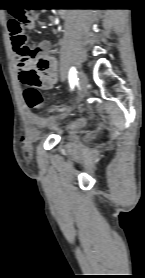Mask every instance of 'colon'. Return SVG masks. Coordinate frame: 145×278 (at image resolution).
I'll return each instance as SVG.
<instances>
[{
    "mask_svg": "<svg viewBox=\"0 0 145 278\" xmlns=\"http://www.w3.org/2000/svg\"><path fill=\"white\" fill-rule=\"evenodd\" d=\"M31 23V14L24 8H14L11 12V19L9 21V33L17 47L26 49L27 55H33L32 50L27 45L26 28ZM22 81L26 84L23 90V97L27 106L36 110L43 106V97L36 85L41 81V74L38 65L35 64L33 68L26 71L22 76ZM22 149L25 154H29L31 146L22 140Z\"/></svg>",
    "mask_w": 145,
    "mask_h": 278,
    "instance_id": "obj_1",
    "label": "colon"
}]
</instances>
